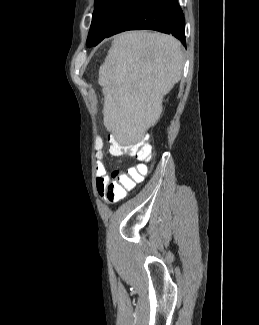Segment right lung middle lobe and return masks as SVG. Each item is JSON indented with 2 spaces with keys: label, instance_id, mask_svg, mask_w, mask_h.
<instances>
[{
  "label": "right lung middle lobe",
  "instance_id": "1",
  "mask_svg": "<svg viewBox=\"0 0 259 325\" xmlns=\"http://www.w3.org/2000/svg\"><path fill=\"white\" fill-rule=\"evenodd\" d=\"M132 0H95L91 28L87 46L93 47L101 42L113 24Z\"/></svg>",
  "mask_w": 259,
  "mask_h": 325
}]
</instances>
